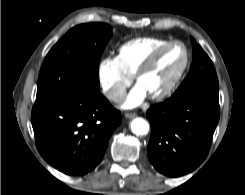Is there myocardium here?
<instances>
[{"label": "myocardium", "instance_id": "myocardium-1", "mask_svg": "<svg viewBox=\"0 0 245 195\" xmlns=\"http://www.w3.org/2000/svg\"><path fill=\"white\" fill-rule=\"evenodd\" d=\"M173 46H180L182 48L183 50L182 64L179 67L178 71L175 73V75L172 77V79L169 81V83L163 89H161L156 93L148 94L149 98L152 100L164 99L165 97H167L169 94L172 93V91L176 88V86L180 82L182 76L186 71L189 62V54L186 46L180 41H169L159 46L147 56V58L140 64V66L137 68L136 72L134 73V79L136 83H138L140 78L155 64V62L160 57V55Z\"/></svg>", "mask_w": 245, "mask_h": 195}]
</instances>
